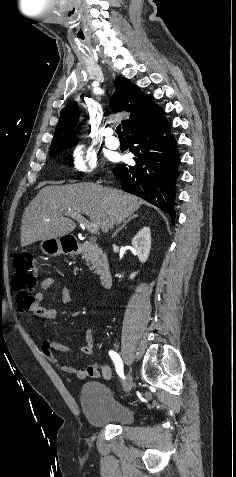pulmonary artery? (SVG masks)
I'll return each mask as SVG.
<instances>
[{"mask_svg":"<svg viewBox=\"0 0 236 477\" xmlns=\"http://www.w3.org/2000/svg\"><path fill=\"white\" fill-rule=\"evenodd\" d=\"M105 137V144L111 149H117L119 147V141L115 136H112L113 130L111 128H106L103 131Z\"/></svg>","mask_w":236,"mask_h":477,"instance_id":"obj_1","label":"pulmonary artery"}]
</instances>
